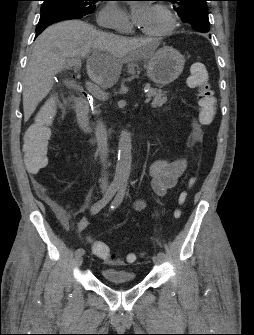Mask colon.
<instances>
[{"label": "colon", "mask_w": 254, "mask_h": 335, "mask_svg": "<svg viewBox=\"0 0 254 335\" xmlns=\"http://www.w3.org/2000/svg\"><path fill=\"white\" fill-rule=\"evenodd\" d=\"M189 85L198 90V106L200 121L204 125L210 124L215 116L217 100L209 83V73L202 63H195L191 66V75L188 80ZM56 113V106L53 102L46 103L36 115L35 121L28 127L25 135L23 151V172H46L48 165L47 139L52 127L53 118ZM193 180H191V183ZM187 194L180 195V204L185 203ZM176 217L181 216V211L177 210ZM92 248L95 254L107 262L115 260L108 246L103 242H94ZM127 261L133 263L135 255L130 253Z\"/></svg>", "instance_id": "5ec220e1"}]
</instances>
